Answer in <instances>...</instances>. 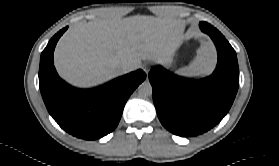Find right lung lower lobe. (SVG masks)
Listing matches in <instances>:
<instances>
[{
    "mask_svg": "<svg viewBox=\"0 0 279 166\" xmlns=\"http://www.w3.org/2000/svg\"><path fill=\"white\" fill-rule=\"evenodd\" d=\"M67 30H60L43 50L39 67V86L48 112L68 133L94 140L112 132L118 125L124 105L146 78L137 70L91 90L71 87L61 80L53 64L57 41Z\"/></svg>",
    "mask_w": 279,
    "mask_h": 166,
    "instance_id": "obj_1",
    "label": "right lung lower lobe"
}]
</instances>
